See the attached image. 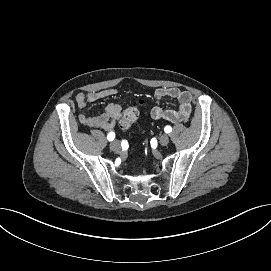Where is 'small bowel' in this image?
<instances>
[{
    "label": "small bowel",
    "mask_w": 271,
    "mask_h": 271,
    "mask_svg": "<svg viewBox=\"0 0 271 271\" xmlns=\"http://www.w3.org/2000/svg\"><path fill=\"white\" fill-rule=\"evenodd\" d=\"M117 93L115 88H108L99 91L79 92L76 95V103L80 109H85L90 102L111 97ZM154 97L158 101L174 99L178 101L177 109H164L160 106L151 107L147 114L152 119H164L172 123L185 122L189 119L192 112V94L180 88H159L155 91ZM122 107L118 103L107 105L105 112L99 116L88 117L80 114V122L91 129H101L105 131L113 130L116 121L121 117Z\"/></svg>",
    "instance_id": "obj_1"
}]
</instances>
